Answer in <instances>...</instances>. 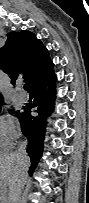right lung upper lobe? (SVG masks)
<instances>
[{"mask_svg":"<svg viewBox=\"0 0 89 203\" xmlns=\"http://www.w3.org/2000/svg\"><path fill=\"white\" fill-rule=\"evenodd\" d=\"M7 36L5 45L0 48V68L10 76L12 84L20 73H24V79L30 86L53 67L48 50L34 33L23 30L19 33L10 32Z\"/></svg>","mask_w":89,"mask_h":203,"instance_id":"cb5924a9","label":"right lung upper lobe"}]
</instances>
